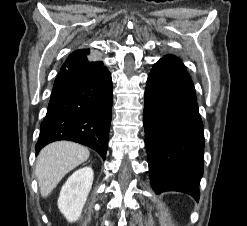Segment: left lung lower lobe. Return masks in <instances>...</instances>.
<instances>
[{
    "label": "left lung lower lobe",
    "mask_w": 247,
    "mask_h": 226,
    "mask_svg": "<svg viewBox=\"0 0 247 226\" xmlns=\"http://www.w3.org/2000/svg\"><path fill=\"white\" fill-rule=\"evenodd\" d=\"M144 128L154 191H179L198 201L203 174V124L193 82L183 63L173 55L160 59L149 74Z\"/></svg>",
    "instance_id": "0a47b994"
}]
</instances>
